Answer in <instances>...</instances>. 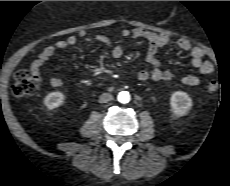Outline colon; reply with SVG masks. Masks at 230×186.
<instances>
[{
	"mask_svg": "<svg viewBox=\"0 0 230 186\" xmlns=\"http://www.w3.org/2000/svg\"><path fill=\"white\" fill-rule=\"evenodd\" d=\"M41 78L30 70L18 71L14 76L12 92L16 97H25L32 95L39 88ZM218 90V83L215 80H209L206 84V91L214 94Z\"/></svg>",
	"mask_w": 230,
	"mask_h": 186,
	"instance_id": "1",
	"label": "colon"
}]
</instances>
